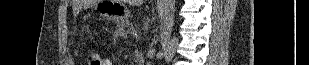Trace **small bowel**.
I'll use <instances>...</instances> for the list:
<instances>
[{
    "instance_id": "small-bowel-1",
    "label": "small bowel",
    "mask_w": 309,
    "mask_h": 65,
    "mask_svg": "<svg viewBox=\"0 0 309 65\" xmlns=\"http://www.w3.org/2000/svg\"><path fill=\"white\" fill-rule=\"evenodd\" d=\"M103 65H113V63L110 59L104 58V64Z\"/></svg>"
}]
</instances>
